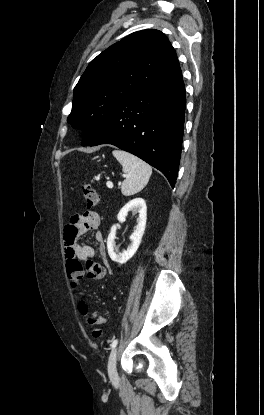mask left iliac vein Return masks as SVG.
<instances>
[{"mask_svg": "<svg viewBox=\"0 0 264 415\" xmlns=\"http://www.w3.org/2000/svg\"><path fill=\"white\" fill-rule=\"evenodd\" d=\"M116 358H117V350L114 348L110 354L109 362H108V375L110 379H116L118 376L117 369H116Z\"/></svg>", "mask_w": 264, "mask_h": 415, "instance_id": "4c4485c4", "label": "left iliac vein"}]
</instances>
